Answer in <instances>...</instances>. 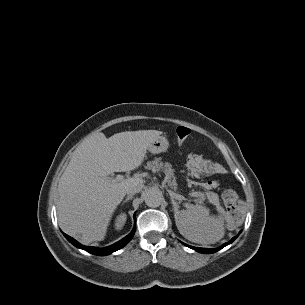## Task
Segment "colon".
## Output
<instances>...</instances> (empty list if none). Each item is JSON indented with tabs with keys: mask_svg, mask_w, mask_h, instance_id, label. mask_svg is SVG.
Masks as SVG:
<instances>
[{
	"mask_svg": "<svg viewBox=\"0 0 305 305\" xmlns=\"http://www.w3.org/2000/svg\"><path fill=\"white\" fill-rule=\"evenodd\" d=\"M179 144L184 143V141L190 136L191 130L185 126H178L175 130ZM222 200L226 206L231 218H235L238 215L237 202L238 195L233 189H226L222 193Z\"/></svg>",
	"mask_w": 305,
	"mask_h": 305,
	"instance_id": "1",
	"label": "colon"
}]
</instances>
